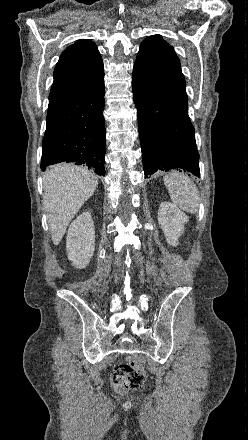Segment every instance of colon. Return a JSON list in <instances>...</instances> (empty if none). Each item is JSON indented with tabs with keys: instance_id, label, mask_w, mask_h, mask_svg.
Masks as SVG:
<instances>
[{
	"instance_id": "colon-1",
	"label": "colon",
	"mask_w": 248,
	"mask_h": 440,
	"mask_svg": "<svg viewBox=\"0 0 248 440\" xmlns=\"http://www.w3.org/2000/svg\"><path fill=\"white\" fill-rule=\"evenodd\" d=\"M145 379L142 366L132 358L115 366L111 373V383L117 391L139 389L144 385Z\"/></svg>"
}]
</instances>
